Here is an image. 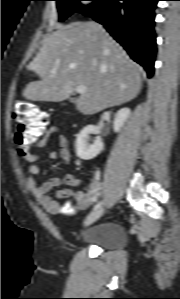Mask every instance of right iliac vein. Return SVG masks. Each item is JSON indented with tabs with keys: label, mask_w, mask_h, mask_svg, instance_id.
I'll list each match as a JSON object with an SVG mask.
<instances>
[{
	"label": "right iliac vein",
	"mask_w": 180,
	"mask_h": 299,
	"mask_svg": "<svg viewBox=\"0 0 180 299\" xmlns=\"http://www.w3.org/2000/svg\"><path fill=\"white\" fill-rule=\"evenodd\" d=\"M104 214V208L99 207L96 210H93L85 219V225H91L96 222Z\"/></svg>",
	"instance_id": "1"
}]
</instances>
